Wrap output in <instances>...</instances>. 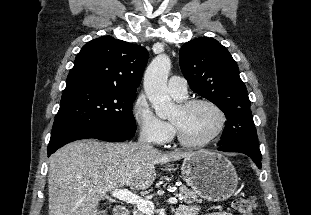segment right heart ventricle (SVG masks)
<instances>
[{"label": "right heart ventricle", "mask_w": 311, "mask_h": 215, "mask_svg": "<svg viewBox=\"0 0 311 215\" xmlns=\"http://www.w3.org/2000/svg\"><path fill=\"white\" fill-rule=\"evenodd\" d=\"M174 97V96H173ZM175 98V100H177L178 102H181V101H183V100H185L186 99V97L185 98H178V97H174Z\"/></svg>", "instance_id": "e07e8e85"}]
</instances>
